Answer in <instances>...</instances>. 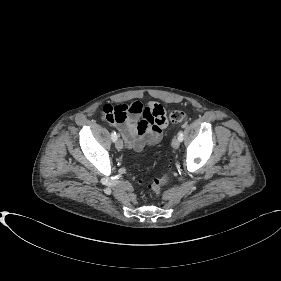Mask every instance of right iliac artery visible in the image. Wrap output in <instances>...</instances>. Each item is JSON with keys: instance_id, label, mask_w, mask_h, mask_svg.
I'll return each mask as SVG.
<instances>
[{"instance_id": "1", "label": "right iliac artery", "mask_w": 281, "mask_h": 281, "mask_svg": "<svg viewBox=\"0 0 281 281\" xmlns=\"http://www.w3.org/2000/svg\"><path fill=\"white\" fill-rule=\"evenodd\" d=\"M117 134H116V132L115 131H113L112 133H111V139L115 142L116 140H117Z\"/></svg>"}]
</instances>
